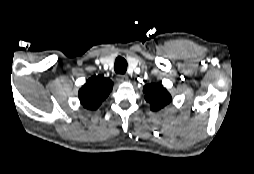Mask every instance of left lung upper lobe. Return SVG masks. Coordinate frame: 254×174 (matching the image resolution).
Here are the masks:
<instances>
[{
	"label": "left lung upper lobe",
	"instance_id": "1",
	"mask_svg": "<svg viewBox=\"0 0 254 174\" xmlns=\"http://www.w3.org/2000/svg\"><path fill=\"white\" fill-rule=\"evenodd\" d=\"M145 99L150 104L152 111H158L171 102V95L159 83H151L143 88Z\"/></svg>",
	"mask_w": 254,
	"mask_h": 174
}]
</instances>
